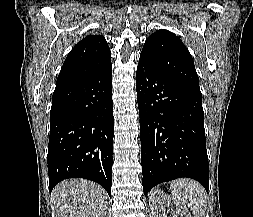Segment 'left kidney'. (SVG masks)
<instances>
[{
  "mask_svg": "<svg viewBox=\"0 0 253 217\" xmlns=\"http://www.w3.org/2000/svg\"><path fill=\"white\" fill-rule=\"evenodd\" d=\"M154 217H167L164 206L173 214V217H191L185 205L178 204L162 190H155L151 196Z\"/></svg>",
  "mask_w": 253,
  "mask_h": 217,
  "instance_id": "5707ae66",
  "label": "left kidney"
}]
</instances>
